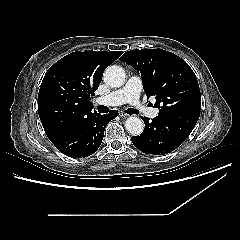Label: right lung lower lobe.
<instances>
[{
    "mask_svg": "<svg viewBox=\"0 0 240 240\" xmlns=\"http://www.w3.org/2000/svg\"><path fill=\"white\" fill-rule=\"evenodd\" d=\"M116 117L115 110L104 115H93L81 125L69 129L50 141L66 156L88 157L99 148L107 123Z\"/></svg>",
    "mask_w": 240,
    "mask_h": 240,
    "instance_id": "1",
    "label": "right lung lower lobe"
}]
</instances>
